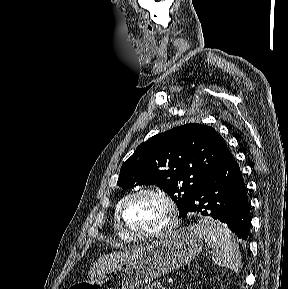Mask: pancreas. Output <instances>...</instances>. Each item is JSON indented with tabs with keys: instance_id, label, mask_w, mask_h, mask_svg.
<instances>
[{
	"instance_id": "obj_1",
	"label": "pancreas",
	"mask_w": 288,
	"mask_h": 289,
	"mask_svg": "<svg viewBox=\"0 0 288 289\" xmlns=\"http://www.w3.org/2000/svg\"><path fill=\"white\" fill-rule=\"evenodd\" d=\"M143 289H153V285H147Z\"/></svg>"
}]
</instances>
